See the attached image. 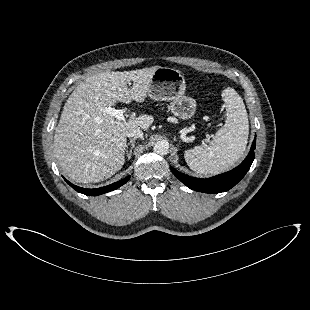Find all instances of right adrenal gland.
Returning a JSON list of instances; mask_svg holds the SVG:
<instances>
[{"mask_svg":"<svg viewBox=\"0 0 310 310\" xmlns=\"http://www.w3.org/2000/svg\"><path fill=\"white\" fill-rule=\"evenodd\" d=\"M135 140H136V138L130 139V141L126 145V154H127L128 160L131 158L132 149L134 148ZM128 146H130V150L129 151H128Z\"/></svg>","mask_w":310,"mask_h":310,"instance_id":"2a0ac1e0","label":"right adrenal gland"}]
</instances>
